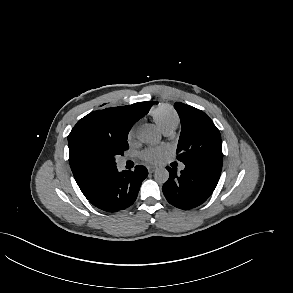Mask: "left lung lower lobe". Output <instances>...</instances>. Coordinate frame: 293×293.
Segmentation results:
<instances>
[{
	"mask_svg": "<svg viewBox=\"0 0 293 293\" xmlns=\"http://www.w3.org/2000/svg\"><path fill=\"white\" fill-rule=\"evenodd\" d=\"M185 169L166 167L169 179L162 187L167 201L180 209H191L204 203L214 191L222 167L206 162H187Z\"/></svg>",
	"mask_w": 293,
	"mask_h": 293,
	"instance_id": "0a47b994",
	"label": "left lung lower lobe"
}]
</instances>
